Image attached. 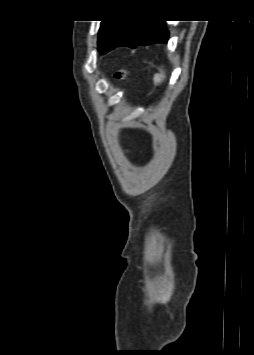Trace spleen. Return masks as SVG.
Masks as SVG:
<instances>
[{
  "label": "spleen",
  "mask_w": 254,
  "mask_h": 355,
  "mask_svg": "<svg viewBox=\"0 0 254 355\" xmlns=\"http://www.w3.org/2000/svg\"><path fill=\"white\" fill-rule=\"evenodd\" d=\"M164 78H165V73L162 70H160V73L155 74L153 77L154 84L158 85L163 81Z\"/></svg>",
  "instance_id": "3e777b00"
}]
</instances>
